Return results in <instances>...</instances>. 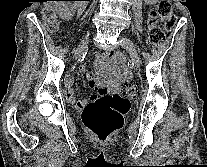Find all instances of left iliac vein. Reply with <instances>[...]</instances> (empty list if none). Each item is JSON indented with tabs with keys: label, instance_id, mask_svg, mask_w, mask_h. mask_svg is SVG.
Masks as SVG:
<instances>
[{
	"label": "left iliac vein",
	"instance_id": "left-iliac-vein-1",
	"mask_svg": "<svg viewBox=\"0 0 207 167\" xmlns=\"http://www.w3.org/2000/svg\"><path fill=\"white\" fill-rule=\"evenodd\" d=\"M122 44L124 48L130 53L132 62L135 64V66L139 67L140 58H139V54H138L137 48L134 45V43L128 38H123Z\"/></svg>",
	"mask_w": 207,
	"mask_h": 167
}]
</instances>
